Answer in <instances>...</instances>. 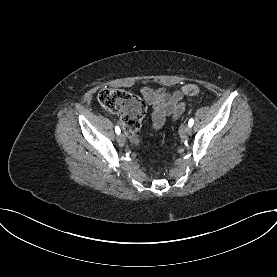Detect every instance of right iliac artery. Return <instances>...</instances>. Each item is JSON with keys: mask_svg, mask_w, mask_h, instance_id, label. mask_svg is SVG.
<instances>
[{"mask_svg": "<svg viewBox=\"0 0 277 277\" xmlns=\"http://www.w3.org/2000/svg\"><path fill=\"white\" fill-rule=\"evenodd\" d=\"M115 132H116L117 134H120L121 130H120V128H119L118 126L115 127Z\"/></svg>", "mask_w": 277, "mask_h": 277, "instance_id": "right-iliac-artery-1", "label": "right iliac artery"}]
</instances>
